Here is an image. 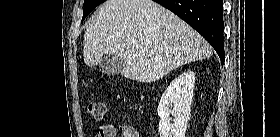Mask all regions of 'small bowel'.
Listing matches in <instances>:
<instances>
[{
  "instance_id": "1",
  "label": "small bowel",
  "mask_w": 280,
  "mask_h": 137,
  "mask_svg": "<svg viewBox=\"0 0 280 137\" xmlns=\"http://www.w3.org/2000/svg\"><path fill=\"white\" fill-rule=\"evenodd\" d=\"M120 134L122 137H139L137 130L129 125L118 126L113 123L102 125L96 137H117Z\"/></svg>"
}]
</instances>
